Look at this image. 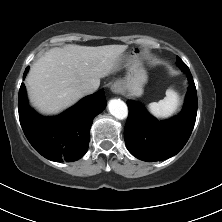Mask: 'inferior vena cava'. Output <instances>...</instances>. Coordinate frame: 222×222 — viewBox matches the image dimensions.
Returning a JSON list of instances; mask_svg holds the SVG:
<instances>
[{
    "label": "inferior vena cava",
    "instance_id": "obj_1",
    "mask_svg": "<svg viewBox=\"0 0 222 222\" xmlns=\"http://www.w3.org/2000/svg\"><path fill=\"white\" fill-rule=\"evenodd\" d=\"M97 87L90 83H83L80 86V91L84 95L92 94L96 91Z\"/></svg>",
    "mask_w": 222,
    "mask_h": 222
}]
</instances>
